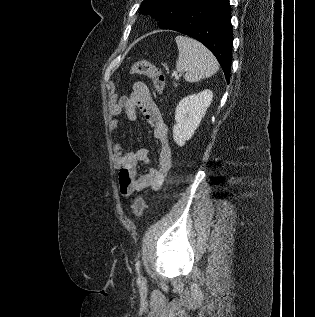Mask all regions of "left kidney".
Listing matches in <instances>:
<instances>
[{"label": "left kidney", "mask_w": 315, "mask_h": 317, "mask_svg": "<svg viewBox=\"0 0 315 317\" xmlns=\"http://www.w3.org/2000/svg\"><path fill=\"white\" fill-rule=\"evenodd\" d=\"M213 99L212 91L206 89L200 93L183 98L176 107L173 127V139L179 146L191 139Z\"/></svg>", "instance_id": "1"}]
</instances>
